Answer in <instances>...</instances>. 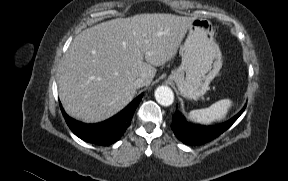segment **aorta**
Segmentation results:
<instances>
[{"label": "aorta", "instance_id": "762f6f07", "mask_svg": "<svg viewBox=\"0 0 288 181\" xmlns=\"http://www.w3.org/2000/svg\"><path fill=\"white\" fill-rule=\"evenodd\" d=\"M155 99L162 106H170L174 101V93L168 86H159L155 90Z\"/></svg>", "mask_w": 288, "mask_h": 181}]
</instances>
